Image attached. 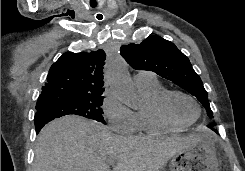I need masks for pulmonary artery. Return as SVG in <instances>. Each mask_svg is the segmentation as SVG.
I'll return each instance as SVG.
<instances>
[{"mask_svg":"<svg viewBox=\"0 0 245 171\" xmlns=\"http://www.w3.org/2000/svg\"><path fill=\"white\" fill-rule=\"evenodd\" d=\"M156 80V75L150 71H139L134 75L136 85L152 83Z\"/></svg>","mask_w":245,"mask_h":171,"instance_id":"1","label":"pulmonary artery"}]
</instances>
